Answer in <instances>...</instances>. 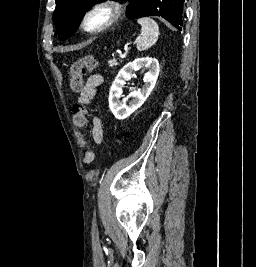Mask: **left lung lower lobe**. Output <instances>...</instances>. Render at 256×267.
I'll use <instances>...</instances> for the list:
<instances>
[{
  "label": "left lung lower lobe",
  "instance_id": "obj_1",
  "mask_svg": "<svg viewBox=\"0 0 256 267\" xmlns=\"http://www.w3.org/2000/svg\"><path fill=\"white\" fill-rule=\"evenodd\" d=\"M183 2L184 0H175V27L179 30L183 26Z\"/></svg>",
  "mask_w": 256,
  "mask_h": 267
}]
</instances>
